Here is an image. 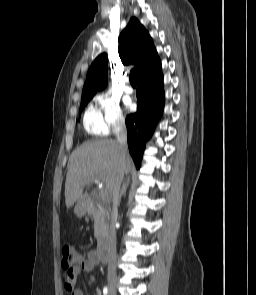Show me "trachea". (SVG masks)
<instances>
[{"instance_id":"1","label":"trachea","mask_w":256,"mask_h":295,"mask_svg":"<svg viewBox=\"0 0 256 295\" xmlns=\"http://www.w3.org/2000/svg\"><path fill=\"white\" fill-rule=\"evenodd\" d=\"M129 80H130V83L135 85L136 84V81H135V76L133 73L130 74L129 76Z\"/></svg>"}]
</instances>
